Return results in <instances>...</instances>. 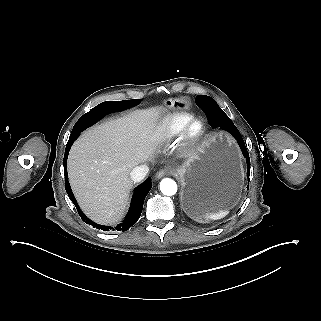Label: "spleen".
Returning a JSON list of instances; mask_svg holds the SVG:
<instances>
[{
	"instance_id": "obj_1",
	"label": "spleen",
	"mask_w": 321,
	"mask_h": 321,
	"mask_svg": "<svg viewBox=\"0 0 321 321\" xmlns=\"http://www.w3.org/2000/svg\"><path fill=\"white\" fill-rule=\"evenodd\" d=\"M227 213H228L227 211H219L218 213L209 214L208 217L211 219H219V218L226 216Z\"/></svg>"
}]
</instances>
